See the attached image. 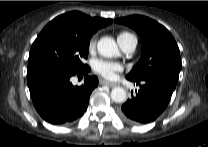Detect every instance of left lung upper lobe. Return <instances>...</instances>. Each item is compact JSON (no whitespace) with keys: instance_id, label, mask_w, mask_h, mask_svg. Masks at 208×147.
<instances>
[{"instance_id":"1","label":"left lung upper lobe","mask_w":208,"mask_h":147,"mask_svg":"<svg viewBox=\"0 0 208 147\" xmlns=\"http://www.w3.org/2000/svg\"><path fill=\"white\" fill-rule=\"evenodd\" d=\"M115 22L134 29L141 39L139 62L126 76L130 81L162 76L175 83L181 70V57L171 33L158 22L140 15L118 18Z\"/></svg>"}]
</instances>
